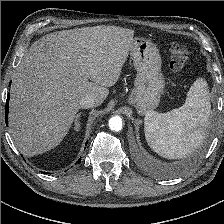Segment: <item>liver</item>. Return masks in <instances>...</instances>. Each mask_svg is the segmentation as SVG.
Masks as SVG:
<instances>
[{"mask_svg":"<svg viewBox=\"0 0 224 224\" xmlns=\"http://www.w3.org/2000/svg\"><path fill=\"white\" fill-rule=\"evenodd\" d=\"M133 37L130 29L96 26L50 33L30 46L13 75L9 109L10 133L24 155L60 144L82 97L103 103L121 75Z\"/></svg>","mask_w":224,"mask_h":224,"instance_id":"obj_1","label":"liver"}]
</instances>
